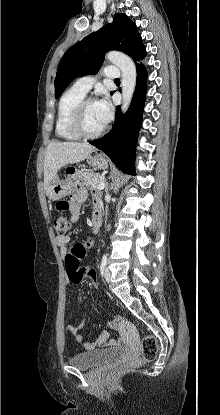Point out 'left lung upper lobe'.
<instances>
[{"mask_svg":"<svg viewBox=\"0 0 220 415\" xmlns=\"http://www.w3.org/2000/svg\"><path fill=\"white\" fill-rule=\"evenodd\" d=\"M109 50L122 51L135 63L146 56L136 24L123 13L117 14L111 24L89 34L64 54L55 78V97L76 77L97 73L104 54Z\"/></svg>","mask_w":220,"mask_h":415,"instance_id":"5c2ea615","label":"left lung upper lobe"}]
</instances>
